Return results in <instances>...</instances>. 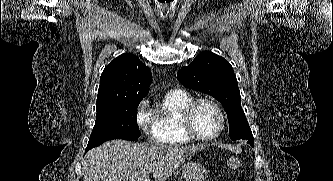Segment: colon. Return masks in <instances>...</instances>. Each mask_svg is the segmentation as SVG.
Segmentation results:
<instances>
[{"label":"colon","instance_id":"1","mask_svg":"<svg viewBox=\"0 0 333 181\" xmlns=\"http://www.w3.org/2000/svg\"><path fill=\"white\" fill-rule=\"evenodd\" d=\"M226 165L229 170H238L241 167V160L239 157L231 156L228 158Z\"/></svg>","mask_w":333,"mask_h":181}]
</instances>
